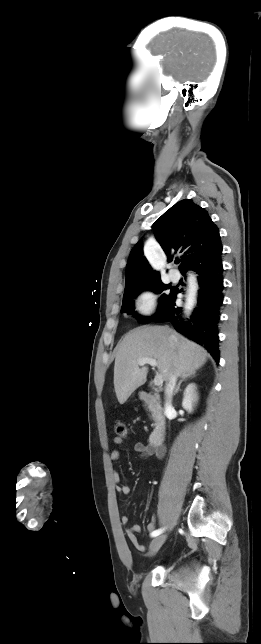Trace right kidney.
I'll list each match as a JSON object with an SVG mask.
<instances>
[{"label":"right kidney","mask_w":261,"mask_h":644,"mask_svg":"<svg viewBox=\"0 0 261 644\" xmlns=\"http://www.w3.org/2000/svg\"><path fill=\"white\" fill-rule=\"evenodd\" d=\"M196 401L195 385L189 384L184 391L182 406L189 413L193 411L194 402Z\"/></svg>","instance_id":"right-kidney-1"}]
</instances>
